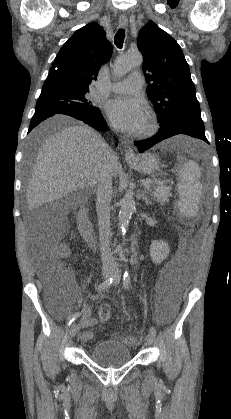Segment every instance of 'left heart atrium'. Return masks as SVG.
Masks as SVG:
<instances>
[{"mask_svg":"<svg viewBox=\"0 0 231 419\" xmlns=\"http://www.w3.org/2000/svg\"><path fill=\"white\" fill-rule=\"evenodd\" d=\"M107 115L118 128L136 133L146 121L145 109L136 98H118L107 105Z\"/></svg>","mask_w":231,"mask_h":419,"instance_id":"39dd6f15","label":"left heart atrium"}]
</instances>
